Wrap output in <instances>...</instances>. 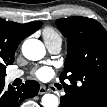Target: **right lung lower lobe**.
<instances>
[{
  "label": "right lung lower lobe",
  "instance_id": "obj_1",
  "mask_svg": "<svg viewBox=\"0 0 107 107\" xmlns=\"http://www.w3.org/2000/svg\"><path fill=\"white\" fill-rule=\"evenodd\" d=\"M5 81L0 80V107H19L20 103L30 97L37 95L40 85L34 80H28L16 89L11 85L4 88Z\"/></svg>",
  "mask_w": 107,
  "mask_h": 107
}]
</instances>
